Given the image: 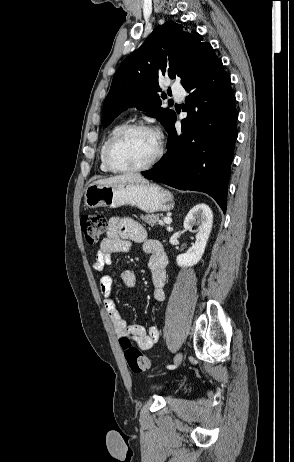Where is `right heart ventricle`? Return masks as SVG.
<instances>
[{"mask_svg": "<svg viewBox=\"0 0 294 462\" xmlns=\"http://www.w3.org/2000/svg\"><path fill=\"white\" fill-rule=\"evenodd\" d=\"M124 125V122L123 121H119L117 123H115L110 129L109 131L107 132V135L104 139V141L102 142L101 146H100V149H99V168L100 170L103 172V173H110L111 171L106 167L105 163H104V149H105V146L108 142V140L111 138V136L121 127Z\"/></svg>", "mask_w": 294, "mask_h": 462, "instance_id": "e07e8e85", "label": "right heart ventricle"}]
</instances>
